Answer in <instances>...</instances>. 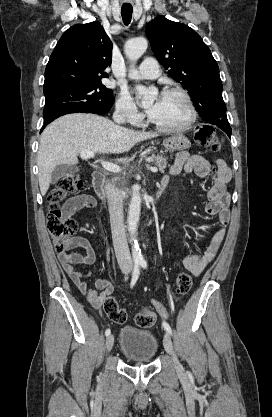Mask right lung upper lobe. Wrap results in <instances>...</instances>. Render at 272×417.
<instances>
[{"label":"right lung upper lobe","mask_w":272,"mask_h":417,"mask_svg":"<svg viewBox=\"0 0 272 417\" xmlns=\"http://www.w3.org/2000/svg\"><path fill=\"white\" fill-rule=\"evenodd\" d=\"M112 60V42L99 22L76 24L58 41L45 69L44 91L102 84Z\"/></svg>","instance_id":"1"}]
</instances>
